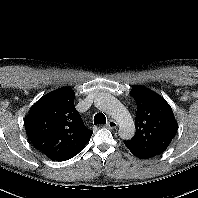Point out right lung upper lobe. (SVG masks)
Listing matches in <instances>:
<instances>
[{
  "label": "right lung upper lobe",
  "mask_w": 198,
  "mask_h": 198,
  "mask_svg": "<svg viewBox=\"0 0 198 198\" xmlns=\"http://www.w3.org/2000/svg\"><path fill=\"white\" fill-rule=\"evenodd\" d=\"M75 92L59 88L41 97L24 120L27 136L48 158L80 151L93 133L74 105Z\"/></svg>",
  "instance_id": "cb5924a9"
}]
</instances>
